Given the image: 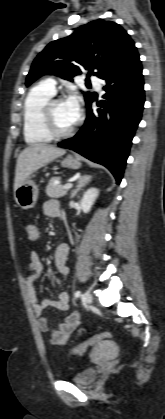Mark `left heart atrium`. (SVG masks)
Masks as SVG:
<instances>
[{"label":"left heart atrium","mask_w":165,"mask_h":419,"mask_svg":"<svg viewBox=\"0 0 165 419\" xmlns=\"http://www.w3.org/2000/svg\"><path fill=\"white\" fill-rule=\"evenodd\" d=\"M67 111L72 120L78 121L81 115V98L77 94L70 95L65 100Z\"/></svg>","instance_id":"39dd6f15"}]
</instances>
